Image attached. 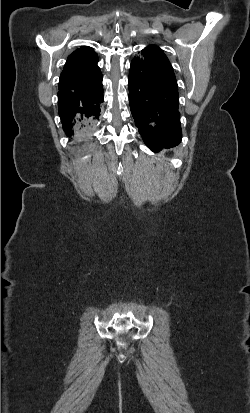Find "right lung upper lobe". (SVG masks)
<instances>
[{
  "label": "right lung upper lobe",
  "instance_id": "obj_1",
  "mask_svg": "<svg viewBox=\"0 0 250 413\" xmlns=\"http://www.w3.org/2000/svg\"><path fill=\"white\" fill-rule=\"evenodd\" d=\"M98 57L88 46L69 55L60 76L59 86L79 85L90 80L98 71Z\"/></svg>",
  "mask_w": 250,
  "mask_h": 413
}]
</instances>
